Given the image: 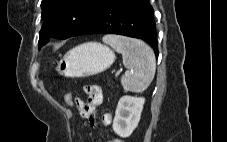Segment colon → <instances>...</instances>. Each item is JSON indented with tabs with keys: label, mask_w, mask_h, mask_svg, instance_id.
Returning <instances> with one entry per match:
<instances>
[{
	"label": "colon",
	"mask_w": 227,
	"mask_h": 142,
	"mask_svg": "<svg viewBox=\"0 0 227 142\" xmlns=\"http://www.w3.org/2000/svg\"><path fill=\"white\" fill-rule=\"evenodd\" d=\"M64 100H65V103H66L68 106H72V105H73V100H74L73 93L68 92V93L65 95Z\"/></svg>",
	"instance_id": "5ec220e1"
}]
</instances>
